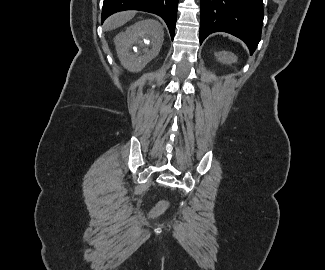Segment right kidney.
<instances>
[{
  "label": "right kidney",
  "instance_id": "1",
  "mask_svg": "<svg viewBox=\"0 0 325 270\" xmlns=\"http://www.w3.org/2000/svg\"><path fill=\"white\" fill-rule=\"evenodd\" d=\"M163 41L160 23L151 19L135 23L114 38L119 60L131 72L141 71L155 58Z\"/></svg>",
  "mask_w": 325,
  "mask_h": 270
}]
</instances>
